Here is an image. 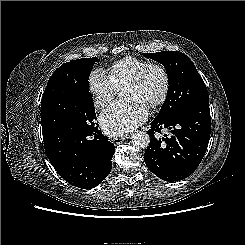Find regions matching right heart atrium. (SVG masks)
<instances>
[{
	"mask_svg": "<svg viewBox=\"0 0 245 245\" xmlns=\"http://www.w3.org/2000/svg\"><path fill=\"white\" fill-rule=\"evenodd\" d=\"M88 90L94 107L97 109H103L108 106L118 91L106 73L99 69L93 70L90 73Z\"/></svg>",
	"mask_w": 245,
	"mask_h": 245,
	"instance_id": "obj_1",
	"label": "right heart atrium"
}]
</instances>
